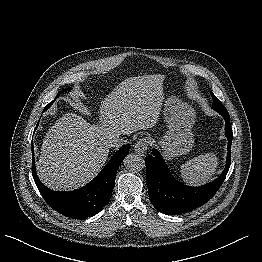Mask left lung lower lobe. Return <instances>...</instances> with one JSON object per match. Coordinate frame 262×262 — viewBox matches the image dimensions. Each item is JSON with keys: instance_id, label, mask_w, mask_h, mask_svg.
<instances>
[{"instance_id": "0a47b994", "label": "left lung lower lobe", "mask_w": 262, "mask_h": 262, "mask_svg": "<svg viewBox=\"0 0 262 262\" xmlns=\"http://www.w3.org/2000/svg\"><path fill=\"white\" fill-rule=\"evenodd\" d=\"M217 112L225 119V134L228 138L227 161L222 174L213 182L199 187L184 185L171 175L159 151L153 149V155L147 156L145 163L149 198L156 210L169 215L190 211L209 201L222 185L231 163L233 132L228 111Z\"/></svg>"}]
</instances>
